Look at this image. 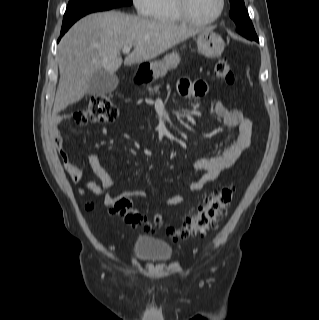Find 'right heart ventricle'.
Here are the masks:
<instances>
[{
  "label": "right heart ventricle",
  "instance_id": "e07e8e85",
  "mask_svg": "<svg viewBox=\"0 0 319 320\" xmlns=\"http://www.w3.org/2000/svg\"><path fill=\"white\" fill-rule=\"evenodd\" d=\"M152 18L161 23L180 24L185 22L176 9L174 0H157Z\"/></svg>",
  "mask_w": 319,
  "mask_h": 320
}]
</instances>
